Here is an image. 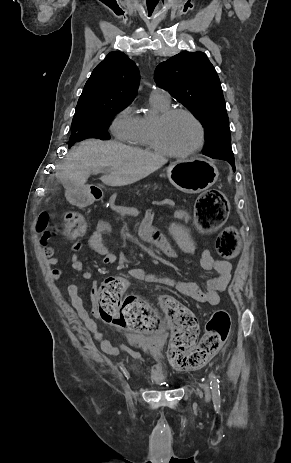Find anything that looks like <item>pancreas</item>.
Listing matches in <instances>:
<instances>
[{
	"label": "pancreas",
	"instance_id": "obj_1",
	"mask_svg": "<svg viewBox=\"0 0 291 463\" xmlns=\"http://www.w3.org/2000/svg\"><path fill=\"white\" fill-rule=\"evenodd\" d=\"M167 190V186H164L161 183L153 182V183H146L140 187L135 188V194L138 196L141 195H162L163 192Z\"/></svg>",
	"mask_w": 291,
	"mask_h": 463
}]
</instances>
